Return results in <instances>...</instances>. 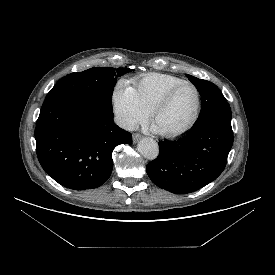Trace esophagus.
<instances>
[{
	"instance_id": "1",
	"label": "esophagus",
	"mask_w": 275,
	"mask_h": 275,
	"mask_svg": "<svg viewBox=\"0 0 275 275\" xmlns=\"http://www.w3.org/2000/svg\"><path fill=\"white\" fill-rule=\"evenodd\" d=\"M132 138H133V142L136 143L141 138V135L138 133H134Z\"/></svg>"
}]
</instances>
